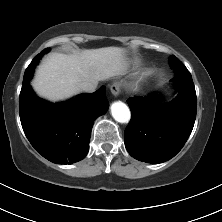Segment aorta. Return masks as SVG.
Here are the masks:
<instances>
[{"label":"aorta","mask_w":222,"mask_h":222,"mask_svg":"<svg viewBox=\"0 0 222 222\" xmlns=\"http://www.w3.org/2000/svg\"><path fill=\"white\" fill-rule=\"evenodd\" d=\"M111 114L119 123H128L131 118L129 107L121 101L114 102L111 105Z\"/></svg>","instance_id":"762f6f07"}]
</instances>
